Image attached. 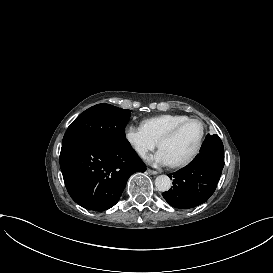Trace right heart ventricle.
<instances>
[{"instance_id": "1", "label": "right heart ventricle", "mask_w": 273, "mask_h": 273, "mask_svg": "<svg viewBox=\"0 0 273 273\" xmlns=\"http://www.w3.org/2000/svg\"><path fill=\"white\" fill-rule=\"evenodd\" d=\"M190 116L185 114H163L148 118L143 121V125L149 133L159 141L160 138L175 125L189 119Z\"/></svg>"}]
</instances>
